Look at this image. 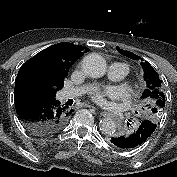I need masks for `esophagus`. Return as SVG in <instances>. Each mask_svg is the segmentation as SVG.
Returning <instances> with one entry per match:
<instances>
[{
    "label": "esophagus",
    "mask_w": 177,
    "mask_h": 177,
    "mask_svg": "<svg viewBox=\"0 0 177 177\" xmlns=\"http://www.w3.org/2000/svg\"><path fill=\"white\" fill-rule=\"evenodd\" d=\"M100 114L103 115V116L108 115V113L106 111H101Z\"/></svg>",
    "instance_id": "1"
}]
</instances>
